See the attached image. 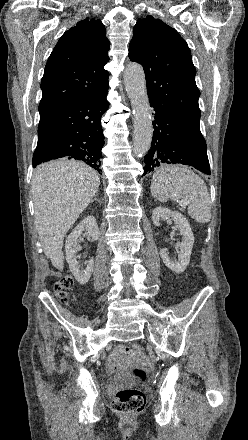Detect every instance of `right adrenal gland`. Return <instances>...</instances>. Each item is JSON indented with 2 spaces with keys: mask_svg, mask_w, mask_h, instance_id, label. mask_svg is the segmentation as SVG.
Wrapping results in <instances>:
<instances>
[{
  "mask_svg": "<svg viewBox=\"0 0 248 440\" xmlns=\"http://www.w3.org/2000/svg\"><path fill=\"white\" fill-rule=\"evenodd\" d=\"M93 201H98V199H97V195L94 196V199L92 200V202H93ZM98 202H99V201H98Z\"/></svg>",
  "mask_w": 248,
  "mask_h": 440,
  "instance_id": "right-adrenal-gland-1",
  "label": "right adrenal gland"
}]
</instances>
